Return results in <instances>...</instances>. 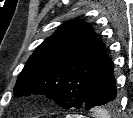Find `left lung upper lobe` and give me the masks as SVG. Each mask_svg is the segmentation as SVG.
Returning <instances> with one entry per match:
<instances>
[{
	"mask_svg": "<svg viewBox=\"0 0 133 118\" xmlns=\"http://www.w3.org/2000/svg\"><path fill=\"white\" fill-rule=\"evenodd\" d=\"M109 56L88 23L67 22L29 57L14 87L21 97L44 94L64 109L83 108L85 99ZM118 101L107 105L115 110Z\"/></svg>",
	"mask_w": 133,
	"mask_h": 118,
	"instance_id": "obj_1",
	"label": "left lung upper lobe"
}]
</instances>
